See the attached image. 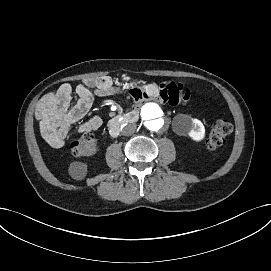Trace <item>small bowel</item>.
Returning a JSON list of instances; mask_svg holds the SVG:
<instances>
[{
	"label": "small bowel",
	"mask_w": 271,
	"mask_h": 271,
	"mask_svg": "<svg viewBox=\"0 0 271 271\" xmlns=\"http://www.w3.org/2000/svg\"><path fill=\"white\" fill-rule=\"evenodd\" d=\"M73 92L77 101L70 106ZM127 94L136 104L159 101L171 106L184 105L190 91L182 84L145 82L123 75L120 82L110 76L90 77L75 88L64 83L47 92L38 102L36 116L43 138L54 148H61L71 133L82 134L98 129L102 124L99 116H93L74 129L71 126L82 120L90 110L95 96Z\"/></svg>",
	"instance_id": "1"
}]
</instances>
